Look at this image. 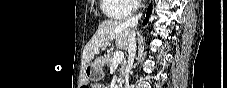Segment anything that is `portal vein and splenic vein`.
Instances as JSON below:
<instances>
[{
    "label": "portal vein and splenic vein",
    "instance_id": "portal-vein-and-splenic-vein-1",
    "mask_svg": "<svg viewBox=\"0 0 227 88\" xmlns=\"http://www.w3.org/2000/svg\"><path fill=\"white\" fill-rule=\"evenodd\" d=\"M124 59V54L122 51H116L113 55L112 65H117L118 63L122 62Z\"/></svg>",
    "mask_w": 227,
    "mask_h": 88
}]
</instances>
